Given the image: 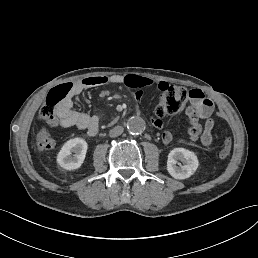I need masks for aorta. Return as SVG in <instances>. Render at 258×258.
Returning <instances> with one entry per match:
<instances>
[{"label":"aorta","instance_id":"1","mask_svg":"<svg viewBox=\"0 0 258 258\" xmlns=\"http://www.w3.org/2000/svg\"><path fill=\"white\" fill-rule=\"evenodd\" d=\"M145 128H146L145 120L140 116L131 117L127 121V130L129 131L130 134H133V135L141 134L143 133Z\"/></svg>","mask_w":258,"mask_h":258}]
</instances>
